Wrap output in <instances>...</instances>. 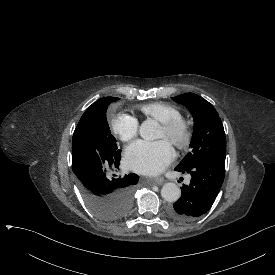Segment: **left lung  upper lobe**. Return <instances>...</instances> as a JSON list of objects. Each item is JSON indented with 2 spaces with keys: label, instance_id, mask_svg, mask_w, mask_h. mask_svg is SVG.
<instances>
[{
  "label": "left lung upper lobe",
  "instance_id": "1",
  "mask_svg": "<svg viewBox=\"0 0 275 275\" xmlns=\"http://www.w3.org/2000/svg\"><path fill=\"white\" fill-rule=\"evenodd\" d=\"M172 99L185 105L194 119L191 140L193 150L177 167L186 169L207 161H218L225 164V132L221 119L212 104L194 93H185Z\"/></svg>",
  "mask_w": 275,
  "mask_h": 275
}]
</instances>
